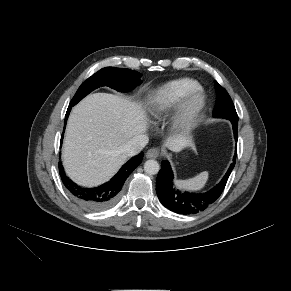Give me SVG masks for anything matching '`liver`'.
<instances>
[{"label":"liver","instance_id":"liver-1","mask_svg":"<svg viewBox=\"0 0 291 291\" xmlns=\"http://www.w3.org/2000/svg\"><path fill=\"white\" fill-rule=\"evenodd\" d=\"M148 122L142 106L118 95L94 93L72 110L63 143V165L80 185L107 181L127 161L123 145L145 133ZM191 145L186 134L169 137L165 147L180 152Z\"/></svg>","mask_w":291,"mask_h":291}]
</instances>
